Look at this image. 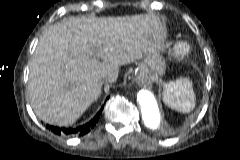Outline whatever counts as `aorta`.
Returning a JSON list of instances; mask_svg holds the SVG:
<instances>
[{"label":"aorta","instance_id":"obj_1","mask_svg":"<svg viewBox=\"0 0 240 160\" xmlns=\"http://www.w3.org/2000/svg\"><path fill=\"white\" fill-rule=\"evenodd\" d=\"M137 102L145 126L151 129L157 128L160 122V110L154 95L148 90H140Z\"/></svg>","mask_w":240,"mask_h":160}]
</instances>
